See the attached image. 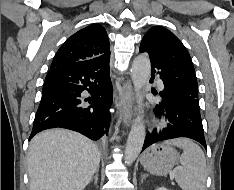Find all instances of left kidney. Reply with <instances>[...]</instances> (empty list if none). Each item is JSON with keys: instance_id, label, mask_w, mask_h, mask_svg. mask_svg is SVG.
<instances>
[{"instance_id": "1", "label": "left kidney", "mask_w": 234, "mask_h": 190, "mask_svg": "<svg viewBox=\"0 0 234 190\" xmlns=\"http://www.w3.org/2000/svg\"><path fill=\"white\" fill-rule=\"evenodd\" d=\"M156 190H169V189H167V188H165V187H159V188H157Z\"/></svg>"}]
</instances>
